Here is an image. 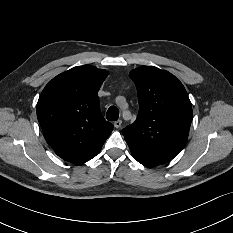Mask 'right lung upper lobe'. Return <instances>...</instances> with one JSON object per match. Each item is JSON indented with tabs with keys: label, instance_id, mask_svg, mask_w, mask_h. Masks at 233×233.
Returning <instances> with one entry per match:
<instances>
[{
	"label": "right lung upper lobe",
	"instance_id": "obj_1",
	"mask_svg": "<svg viewBox=\"0 0 233 233\" xmlns=\"http://www.w3.org/2000/svg\"><path fill=\"white\" fill-rule=\"evenodd\" d=\"M106 77L105 70L77 66L52 79L39 97L37 118L45 139L65 161H89L112 132L98 99Z\"/></svg>",
	"mask_w": 233,
	"mask_h": 233
}]
</instances>
